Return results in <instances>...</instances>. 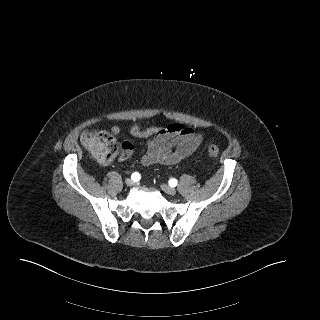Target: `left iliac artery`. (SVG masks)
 <instances>
[{"label":"left iliac artery","instance_id":"obj_1","mask_svg":"<svg viewBox=\"0 0 320 320\" xmlns=\"http://www.w3.org/2000/svg\"><path fill=\"white\" fill-rule=\"evenodd\" d=\"M169 185H170L171 187H175V186L177 185V180H176V179H170V180H169Z\"/></svg>","mask_w":320,"mask_h":320}]
</instances>
